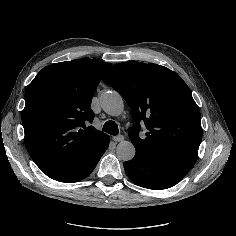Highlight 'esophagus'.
<instances>
[{"label":"esophagus","instance_id":"1","mask_svg":"<svg viewBox=\"0 0 236 236\" xmlns=\"http://www.w3.org/2000/svg\"><path fill=\"white\" fill-rule=\"evenodd\" d=\"M112 139L115 142H120L124 139V136L123 135H117V136H114Z\"/></svg>","mask_w":236,"mask_h":236}]
</instances>
